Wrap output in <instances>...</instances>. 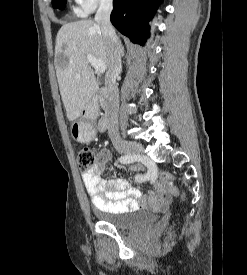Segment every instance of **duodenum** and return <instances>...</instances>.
Listing matches in <instances>:
<instances>
[{"label":"duodenum","mask_w":247,"mask_h":275,"mask_svg":"<svg viewBox=\"0 0 247 275\" xmlns=\"http://www.w3.org/2000/svg\"><path fill=\"white\" fill-rule=\"evenodd\" d=\"M98 105L103 107V115L100 116L98 120V127L100 130H105L109 123L111 117V105L109 103V91L107 89L100 90L95 94L90 101L87 102L85 106L86 112L94 110Z\"/></svg>","instance_id":"duodenum-1"}]
</instances>
